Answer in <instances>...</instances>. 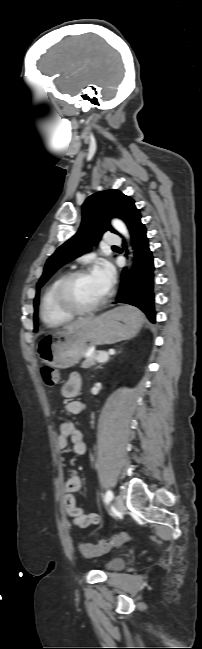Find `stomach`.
Wrapping results in <instances>:
<instances>
[{
  "instance_id": "obj_1",
  "label": "stomach",
  "mask_w": 202,
  "mask_h": 649,
  "mask_svg": "<svg viewBox=\"0 0 202 649\" xmlns=\"http://www.w3.org/2000/svg\"><path fill=\"white\" fill-rule=\"evenodd\" d=\"M141 321L137 310L119 307L78 328L44 336L37 344V353L42 362L57 369H66L78 363L91 346L112 344L133 337Z\"/></svg>"
}]
</instances>
